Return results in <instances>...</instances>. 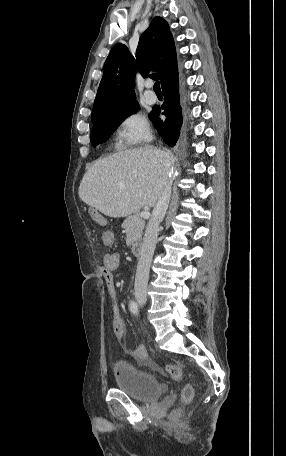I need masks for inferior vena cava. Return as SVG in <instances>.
Returning a JSON list of instances; mask_svg holds the SVG:
<instances>
[{"instance_id": "obj_1", "label": "inferior vena cava", "mask_w": 286, "mask_h": 456, "mask_svg": "<svg viewBox=\"0 0 286 456\" xmlns=\"http://www.w3.org/2000/svg\"><path fill=\"white\" fill-rule=\"evenodd\" d=\"M171 196V182L166 178L160 185L159 195L152 216L147 224L135 277V296L146 297L152 257L156 247L159 224L163 221Z\"/></svg>"}]
</instances>
